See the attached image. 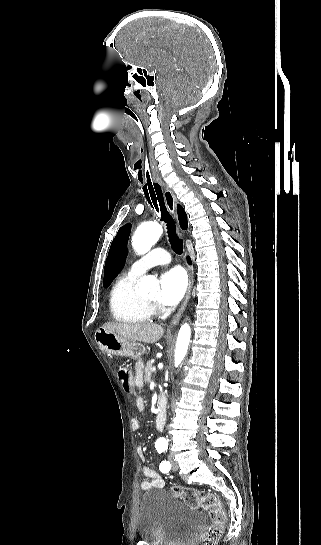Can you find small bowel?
<instances>
[{"label":"small bowel","instance_id":"1","mask_svg":"<svg viewBox=\"0 0 321 545\" xmlns=\"http://www.w3.org/2000/svg\"><path fill=\"white\" fill-rule=\"evenodd\" d=\"M136 407H137L138 411H140V412L144 410L145 402L141 397L137 398ZM132 427L135 430L139 429L140 422H139L138 419L135 418V419L132 420ZM137 453H138L139 458L142 461H144V451H143V448L141 446H139L137 448ZM143 474L146 477V479L143 480L142 483H141V488L143 490H149L151 488H163L164 487V480L162 479L160 474L158 472H156L155 470L151 469L148 466H144L143 467Z\"/></svg>","mask_w":321,"mask_h":545}]
</instances>
